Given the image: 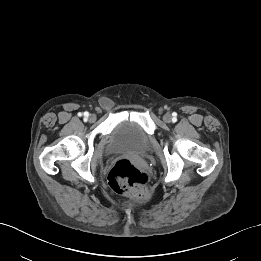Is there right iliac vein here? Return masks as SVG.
Returning a JSON list of instances; mask_svg holds the SVG:
<instances>
[{
	"label": "right iliac vein",
	"instance_id": "obj_1",
	"mask_svg": "<svg viewBox=\"0 0 261 261\" xmlns=\"http://www.w3.org/2000/svg\"><path fill=\"white\" fill-rule=\"evenodd\" d=\"M89 121H90L91 123L95 122V121H96V115H95V114H90V116H89Z\"/></svg>",
	"mask_w": 261,
	"mask_h": 261
}]
</instances>
